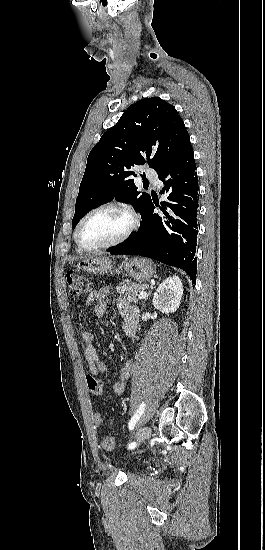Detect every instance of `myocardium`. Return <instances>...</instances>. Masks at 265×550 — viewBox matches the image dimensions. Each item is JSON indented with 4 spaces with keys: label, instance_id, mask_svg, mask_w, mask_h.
Here are the masks:
<instances>
[{
    "label": "myocardium",
    "instance_id": "myocardium-1",
    "mask_svg": "<svg viewBox=\"0 0 265 550\" xmlns=\"http://www.w3.org/2000/svg\"><path fill=\"white\" fill-rule=\"evenodd\" d=\"M105 209L117 210V211L122 212L125 215H127L130 219V224H129L127 230L120 237H118L117 239H115L111 242H108V243H105V244L94 245V246H85L84 244L81 243V241L79 239V232H80V229H81L83 223L86 221V219L88 217H90L95 212L105 210ZM139 223H140V219H139L138 214L133 209H131L129 206L124 205V204H120V203H113V202L101 204V205L96 206V207L92 208L91 210H89L80 219V221L78 222V224L75 228V231H74V240H75L77 246L79 247V249H81L83 251H95V250H100V249L111 248V247H114V246L119 245V244L123 243L124 241H126L138 229Z\"/></svg>",
    "mask_w": 265,
    "mask_h": 550
}]
</instances>
